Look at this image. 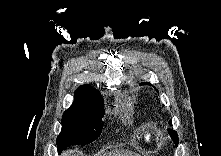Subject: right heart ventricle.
Masks as SVG:
<instances>
[{
	"label": "right heart ventricle",
	"mask_w": 221,
	"mask_h": 156,
	"mask_svg": "<svg viewBox=\"0 0 221 156\" xmlns=\"http://www.w3.org/2000/svg\"><path fill=\"white\" fill-rule=\"evenodd\" d=\"M144 138L147 142H152L156 138V132L152 128H146L144 132Z\"/></svg>",
	"instance_id": "obj_1"
}]
</instances>
